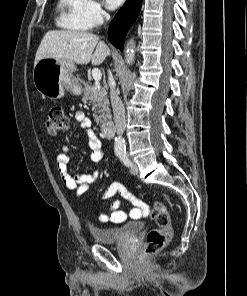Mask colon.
Listing matches in <instances>:
<instances>
[{"label":"colon","instance_id":"obj_1","mask_svg":"<svg viewBox=\"0 0 247 296\" xmlns=\"http://www.w3.org/2000/svg\"><path fill=\"white\" fill-rule=\"evenodd\" d=\"M69 129V120L61 107H52L46 122V130L52 135L64 133ZM139 204L138 200L134 201ZM151 214L156 227L151 229L144 245V255H153L161 251L173 235V227L165 205L154 201L150 207L143 205L140 212H134V217Z\"/></svg>","mask_w":247,"mask_h":296}]
</instances>
